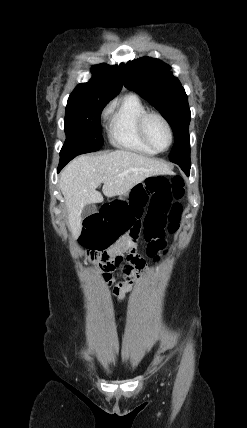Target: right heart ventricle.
Wrapping results in <instances>:
<instances>
[{
	"label": "right heart ventricle",
	"instance_id": "e07e8e85",
	"mask_svg": "<svg viewBox=\"0 0 247 428\" xmlns=\"http://www.w3.org/2000/svg\"><path fill=\"white\" fill-rule=\"evenodd\" d=\"M147 112L145 104L135 93H129L110 108L106 117L110 143L118 148L144 155L157 154L142 139L139 119Z\"/></svg>",
	"mask_w": 247,
	"mask_h": 428
}]
</instances>
